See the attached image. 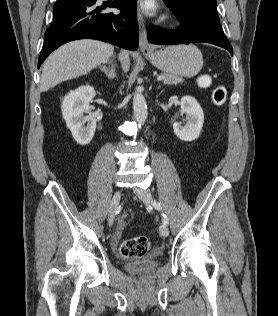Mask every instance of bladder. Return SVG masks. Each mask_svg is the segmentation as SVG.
<instances>
[{
	"instance_id": "1",
	"label": "bladder",
	"mask_w": 278,
	"mask_h": 316,
	"mask_svg": "<svg viewBox=\"0 0 278 316\" xmlns=\"http://www.w3.org/2000/svg\"><path fill=\"white\" fill-rule=\"evenodd\" d=\"M147 269L153 270L155 267V262H150L146 264Z\"/></svg>"
}]
</instances>
